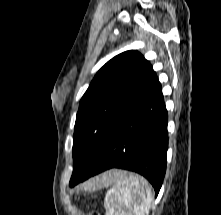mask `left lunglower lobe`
Segmentation results:
<instances>
[{
    "mask_svg": "<svg viewBox=\"0 0 221 215\" xmlns=\"http://www.w3.org/2000/svg\"><path fill=\"white\" fill-rule=\"evenodd\" d=\"M167 110L161 84L152 71L136 97L115 119L107 141L86 175L71 187L111 168L137 172L149 180L156 196L166 171Z\"/></svg>",
    "mask_w": 221,
    "mask_h": 215,
    "instance_id": "obj_1",
    "label": "left lung lower lobe"
}]
</instances>
